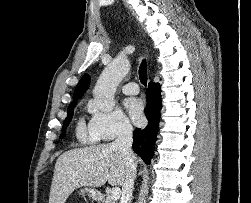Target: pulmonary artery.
Listing matches in <instances>:
<instances>
[{
  "mask_svg": "<svg viewBox=\"0 0 251 203\" xmlns=\"http://www.w3.org/2000/svg\"><path fill=\"white\" fill-rule=\"evenodd\" d=\"M121 90L125 94L135 95L139 93V87L135 82H129L121 87Z\"/></svg>",
  "mask_w": 251,
  "mask_h": 203,
  "instance_id": "e3ab8cb5",
  "label": "pulmonary artery"
}]
</instances>
